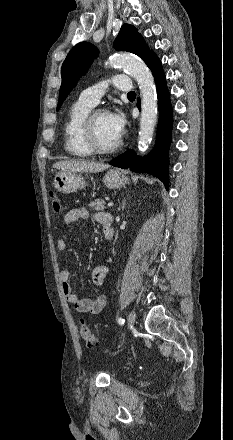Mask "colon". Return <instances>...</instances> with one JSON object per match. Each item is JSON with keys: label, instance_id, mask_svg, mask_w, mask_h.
<instances>
[{"label": "colon", "instance_id": "colon-1", "mask_svg": "<svg viewBox=\"0 0 233 440\" xmlns=\"http://www.w3.org/2000/svg\"><path fill=\"white\" fill-rule=\"evenodd\" d=\"M50 196H51V206L53 211L57 214L60 213L62 210V206L59 198L55 195L53 191L50 192ZM80 333L88 347L93 348L98 346L97 339L93 336L89 327L84 322H82L80 325Z\"/></svg>", "mask_w": 233, "mask_h": 440}]
</instances>
